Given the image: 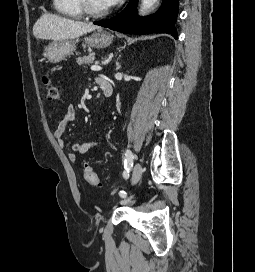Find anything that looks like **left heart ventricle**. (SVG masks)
<instances>
[{
	"label": "left heart ventricle",
	"mask_w": 255,
	"mask_h": 272,
	"mask_svg": "<svg viewBox=\"0 0 255 272\" xmlns=\"http://www.w3.org/2000/svg\"><path fill=\"white\" fill-rule=\"evenodd\" d=\"M89 1L91 8L95 11L101 12L108 9L104 0H89Z\"/></svg>",
	"instance_id": "left-heart-ventricle-1"
}]
</instances>
